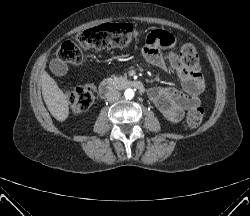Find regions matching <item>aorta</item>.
I'll list each match as a JSON object with an SVG mask.
<instances>
[{"instance_id": "1", "label": "aorta", "mask_w": 250, "mask_h": 216, "mask_svg": "<svg viewBox=\"0 0 250 216\" xmlns=\"http://www.w3.org/2000/svg\"><path fill=\"white\" fill-rule=\"evenodd\" d=\"M124 96L126 99H132L134 97V91L132 89H127L124 92Z\"/></svg>"}]
</instances>
